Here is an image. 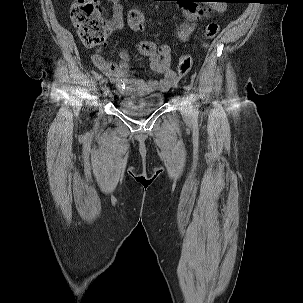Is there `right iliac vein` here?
<instances>
[{"instance_id":"obj_1","label":"right iliac vein","mask_w":303,"mask_h":303,"mask_svg":"<svg viewBox=\"0 0 303 303\" xmlns=\"http://www.w3.org/2000/svg\"><path fill=\"white\" fill-rule=\"evenodd\" d=\"M102 90H103V94H104V95H107V94L109 93V88H108L107 86H104V87L102 88Z\"/></svg>"}]
</instances>
